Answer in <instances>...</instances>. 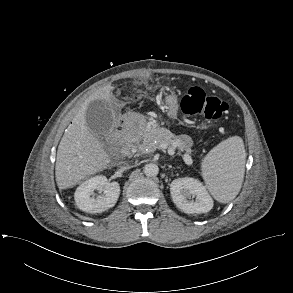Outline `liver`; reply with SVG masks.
Masks as SVG:
<instances>
[{
  "label": "liver",
  "instance_id": "6515ba94",
  "mask_svg": "<svg viewBox=\"0 0 293 293\" xmlns=\"http://www.w3.org/2000/svg\"><path fill=\"white\" fill-rule=\"evenodd\" d=\"M113 89L110 85L99 89L88 102H111ZM87 106L88 103L73 118L58 146L55 177L60 190L71 188L84 178L104 170L110 162L101 143L86 125Z\"/></svg>",
  "mask_w": 293,
  "mask_h": 293
}]
</instances>
